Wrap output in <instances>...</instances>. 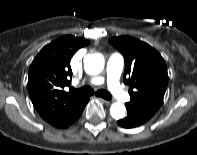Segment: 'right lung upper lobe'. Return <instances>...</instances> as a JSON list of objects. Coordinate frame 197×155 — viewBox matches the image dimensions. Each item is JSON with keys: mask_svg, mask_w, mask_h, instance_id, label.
Instances as JSON below:
<instances>
[{"mask_svg": "<svg viewBox=\"0 0 197 155\" xmlns=\"http://www.w3.org/2000/svg\"><path fill=\"white\" fill-rule=\"evenodd\" d=\"M89 41L70 35L46 45L29 68L28 92L41 117L61 128L80 107L86 97L64 91L72 76L70 60L75 52Z\"/></svg>", "mask_w": 197, "mask_h": 155, "instance_id": "obj_1", "label": "right lung upper lobe"}]
</instances>
